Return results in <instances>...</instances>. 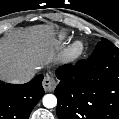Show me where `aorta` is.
Wrapping results in <instances>:
<instances>
[{
  "mask_svg": "<svg viewBox=\"0 0 119 119\" xmlns=\"http://www.w3.org/2000/svg\"><path fill=\"white\" fill-rule=\"evenodd\" d=\"M43 105L46 108H54L57 105V98L53 94H46L43 97Z\"/></svg>",
  "mask_w": 119,
  "mask_h": 119,
  "instance_id": "762f6f07",
  "label": "aorta"
}]
</instances>
